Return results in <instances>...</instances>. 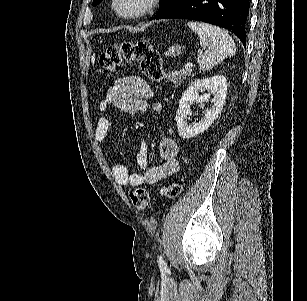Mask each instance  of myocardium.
<instances>
[{"mask_svg":"<svg viewBox=\"0 0 307 301\" xmlns=\"http://www.w3.org/2000/svg\"><path fill=\"white\" fill-rule=\"evenodd\" d=\"M128 2L129 0H113L112 12H117L121 17H145L151 12L157 0H139L133 7H130Z\"/></svg>","mask_w":307,"mask_h":301,"instance_id":"f54148a6","label":"myocardium"}]
</instances>
